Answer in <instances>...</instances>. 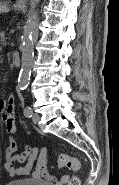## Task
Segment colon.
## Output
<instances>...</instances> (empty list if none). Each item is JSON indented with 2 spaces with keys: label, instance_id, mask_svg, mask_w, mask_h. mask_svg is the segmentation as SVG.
Returning a JSON list of instances; mask_svg holds the SVG:
<instances>
[{
  "label": "colon",
  "instance_id": "5ec220e1",
  "mask_svg": "<svg viewBox=\"0 0 119 185\" xmlns=\"http://www.w3.org/2000/svg\"><path fill=\"white\" fill-rule=\"evenodd\" d=\"M57 166L60 168L68 167L77 172L81 165L77 158L71 157L67 154H60L57 158ZM67 185H80V180L76 175H73L67 181Z\"/></svg>",
  "mask_w": 119,
  "mask_h": 185
}]
</instances>
